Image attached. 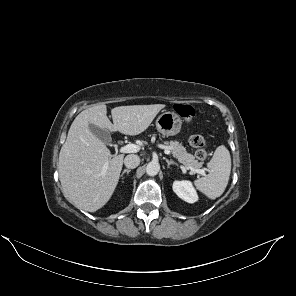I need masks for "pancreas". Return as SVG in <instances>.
<instances>
[{"instance_id": "1", "label": "pancreas", "mask_w": 296, "mask_h": 296, "mask_svg": "<svg viewBox=\"0 0 296 296\" xmlns=\"http://www.w3.org/2000/svg\"><path fill=\"white\" fill-rule=\"evenodd\" d=\"M165 147L171 150L173 156L176 157L180 163L185 165L187 169H200L202 167V163L198 162L192 154L188 153L180 142H165Z\"/></svg>"}]
</instances>
